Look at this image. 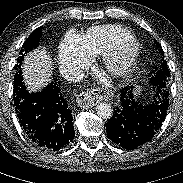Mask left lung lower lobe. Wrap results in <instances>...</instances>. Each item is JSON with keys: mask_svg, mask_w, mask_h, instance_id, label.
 Segmentation results:
<instances>
[{"mask_svg": "<svg viewBox=\"0 0 183 183\" xmlns=\"http://www.w3.org/2000/svg\"><path fill=\"white\" fill-rule=\"evenodd\" d=\"M169 104L167 89H157L147 104H138L132 91L123 88L119 105L107 122L108 137L117 145L133 149L148 142L165 120Z\"/></svg>", "mask_w": 183, "mask_h": 183, "instance_id": "left-lung-lower-lobe-1", "label": "left lung lower lobe"}]
</instances>
